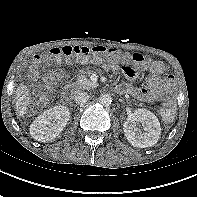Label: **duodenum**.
<instances>
[{
	"mask_svg": "<svg viewBox=\"0 0 197 197\" xmlns=\"http://www.w3.org/2000/svg\"><path fill=\"white\" fill-rule=\"evenodd\" d=\"M116 91L119 92V93H125V90L123 87L119 86L116 88Z\"/></svg>",
	"mask_w": 197,
	"mask_h": 197,
	"instance_id": "duodenum-1",
	"label": "duodenum"
}]
</instances>
